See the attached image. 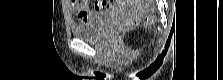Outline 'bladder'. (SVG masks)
<instances>
[{
  "mask_svg": "<svg viewBox=\"0 0 223 80\" xmlns=\"http://www.w3.org/2000/svg\"><path fill=\"white\" fill-rule=\"evenodd\" d=\"M110 16V12H105L94 19L81 23H74L71 25V32L73 36L78 39L93 41L99 37Z\"/></svg>",
  "mask_w": 223,
  "mask_h": 80,
  "instance_id": "31cf9c89",
  "label": "bladder"
}]
</instances>
